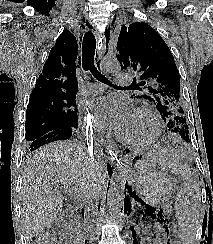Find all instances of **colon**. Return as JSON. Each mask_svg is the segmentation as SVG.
Wrapping results in <instances>:
<instances>
[{
	"label": "colon",
	"instance_id": "5ec220e1",
	"mask_svg": "<svg viewBox=\"0 0 213 244\" xmlns=\"http://www.w3.org/2000/svg\"><path fill=\"white\" fill-rule=\"evenodd\" d=\"M36 244H54L53 240L50 236L45 237L44 239L40 240Z\"/></svg>",
	"mask_w": 213,
	"mask_h": 244
}]
</instances>
